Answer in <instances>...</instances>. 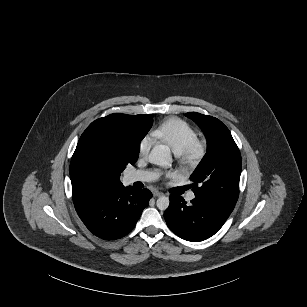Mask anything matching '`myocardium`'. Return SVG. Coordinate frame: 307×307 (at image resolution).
<instances>
[{
    "instance_id": "f54148a6",
    "label": "myocardium",
    "mask_w": 307,
    "mask_h": 307,
    "mask_svg": "<svg viewBox=\"0 0 307 307\" xmlns=\"http://www.w3.org/2000/svg\"><path fill=\"white\" fill-rule=\"evenodd\" d=\"M206 153V146L201 141H194L181 152H176L175 157L186 166H197Z\"/></svg>"
}]
</instances>
